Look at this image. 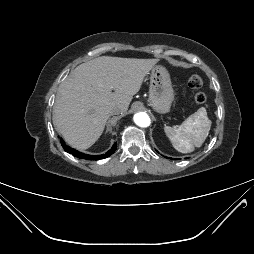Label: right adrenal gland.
I'll return each instance as SVG.
<instances>
[{
  "label": "right adrenal gland",
  "instance_id": "1",
  "mask_svg": "<svg viewBox=\"0 0 254 254\" xmlns=\"http://www.w3.org/2000/svg\"><path fill=\"white\" fill-rule=\"evenodd\" d=\"M107 129H106V133H108L110 131V127H109V121L107 122Z\"/></svg>",
  "mask_w": 254,
  "mask_h": 254
}]
</instances>
